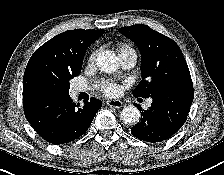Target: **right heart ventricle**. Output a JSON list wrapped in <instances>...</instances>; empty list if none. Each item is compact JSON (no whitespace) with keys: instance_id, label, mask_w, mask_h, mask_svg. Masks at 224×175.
I'll list each match as a JSON object with an SVG mask.
<instances>
[{"instance_id":"obj_1","label":"right heart ventricle","mask_w":224,"mask_h":175,"mask_svg":"<svg viewBox=\"0 0 224 175\" xmlns=\"http://www.w3.org/2000/svg\"><path fill=\"white\" fill-rule=\"evenodd\" d=\"M126 50H133V49L131 47H129L128 45L121 44L118 48V53H120L122 51H126Z\"/></svg>"}]
</instances>
